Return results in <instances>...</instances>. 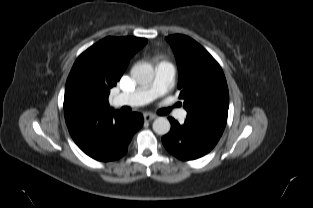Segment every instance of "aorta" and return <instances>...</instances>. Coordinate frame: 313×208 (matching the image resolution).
Masks as SVG:
<instances>
[{
    "mask_svg": "<svg viewBox=\"0 0 313 208\" xmlns=\"http://www.w3.org/2000/svg\"><path fill=\"white\" fill-rule=\"evenodd\" d=\"M131 75L140 85H147L153 81L154 71L148 63H137L131 69ZM153 130L158 135H165L170 131L171 125L167 118L158 117L153 122Z\"/></svg>",
    "mask_w": 313,
    "mask_h": 208,
    "instance_id": "1",
    "label": "aorta"
}]
</instances>
